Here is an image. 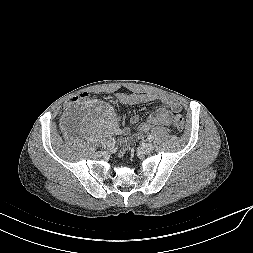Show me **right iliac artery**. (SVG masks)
Masks as SVG:
<instances>
[{
    "label": "right iliac artery",
    "mask_w": 253,
    "mask_h": 253,
    "mask_svg": "<svg viewBox=\"0 0 253 253\" xmlns=\"http://www.w3.org/2000/svg\"><path fill=\"white\" fill-rule=\"evenodd\" d=\"M113 134L120 135L122 134V130L118 127H114Z\"/></svg>",
    "instance_id": "obj_1"
}]
</instances>
